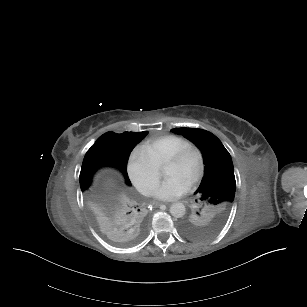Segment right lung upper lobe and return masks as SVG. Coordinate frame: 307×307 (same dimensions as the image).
I'll return each instance as SVG.
<instances>
[{"label": "right lung upper lobe", "mask_w": 307, "mask_h": 307, "mask_svg": "<svg viewBox=\"0 0 307 307\" xmlns=\"http://www.w3.org/2000/svg\"><path fill=\"white\" fill-rule=\"evenodd\" d=\"M146 134V131L122 134L110 131L100 136L92 147L104 153L108 159L106 166L117 168L124 175L127 185H130L127 174L128 157ZM89 186L82 190V199L102 229L139 231L145 226L147 210L131 193L103 195L94 192Z\"/></svg>", "instance_id": "right-lung-upper-lobe-1"}]
</instances>
